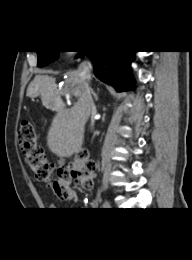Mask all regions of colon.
Returning <instances> with one entry per match:
<instances>
[{
  "label": "colon",
  "mask_w": 192,
  "mask_h": 260,
  "mask_svg": "<svg viewBox=\"0 0 192 260\" xmlns=\"http://www.w3.org/2000/svg\"><path fill=\"white\" fill-rule=\"evenodd\" d=\"M18 145L35 178L47 183L57 198L65 200L68 197L72 180L84 190L92 189L96 165L89 159L87 151H81L71 164L61 165L54 175L55 167L48 161L39 144L37 131L30 121L21 122Z\"/></svg>",
  "instance_id": "1"
}]
</instances>
